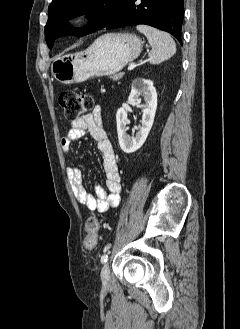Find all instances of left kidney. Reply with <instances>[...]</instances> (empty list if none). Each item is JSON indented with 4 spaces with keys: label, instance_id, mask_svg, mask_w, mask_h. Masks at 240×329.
I'll return each mask as SVG.
<instances>
[{
    "label": "left kidney",
    "instance_id": "left-kidney-1",
    "mask_svg": "<svg viewBox=\"0 0 240 329\" xmlns=\"http://www.w3.org/2000/svg\"><path fill=\"white\" fill-rule=\"evenodd\" d=\"M144 98L142 105V120L139 131L135 136L127 134V110L121 107L116 113L117 133L120 148L125 153H133L144 144L154 122L157 109V93L153 82L148 79L138 78L132 83L131 93L128 98L130 103H140V97Z\"/></svg>",
    "mask_w": 240,
    "mask_h": 329
}]
</instances>
